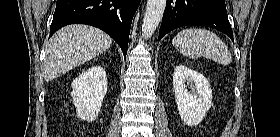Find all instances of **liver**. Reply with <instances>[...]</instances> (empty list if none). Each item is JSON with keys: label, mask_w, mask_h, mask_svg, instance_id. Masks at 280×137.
<instances>
[{"label": "liver", "mask_w": 280, "mask_h": 137, "mask_svg": "<svg viewBox=\"0 0 280 137\" xmlns=\"http://www.w3.org/2000/svg\"><path fill=\"white\" fill-rule=\"evenodd\" d=\"M112 38L102 30L87 25H69L50 39L44 61L43 76L51 81L74 67L102 54Z\"/></svg>", "instance_id": "obj_1"}]
</instances>
